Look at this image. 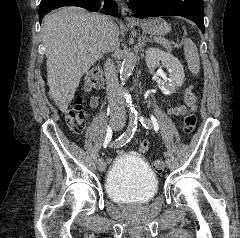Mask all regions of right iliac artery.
I'll use <instances>...</instances> for the list:
<instances>
[{"label":"right iliac artery","mask_w":240,"mask_h":238,"mask_svg":"<svg viewBox=\"0 0 240 238\" xmlns=\"http://www.w3.org/2000/svg\"><path fill=\"white\" fill-rule=\"evenodd\" d=\"M137 124H138L137 117H130L127 130L118 139H116L113 142V144H111V147L119 148V147H122L125 144H127L133 137V135L136 131V128H137ZM102 161H103L102 158L98 159V163H100Z\"/></svg>","instance_id":"1"}]
</instances>
